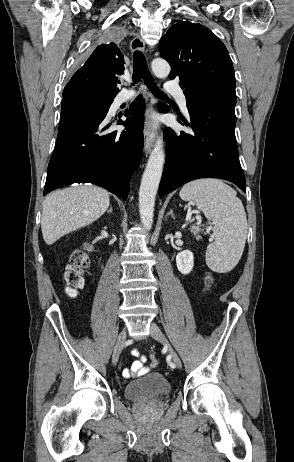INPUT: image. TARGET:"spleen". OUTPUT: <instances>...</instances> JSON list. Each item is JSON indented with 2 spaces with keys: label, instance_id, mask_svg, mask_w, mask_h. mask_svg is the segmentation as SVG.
<instances>
[{
  "label": "spleen",
  "instance_id": "obj_1",
  "mask_svg": "<svg viewBox=\"0 0 294 462\" xmlns=\"http://www.w3.org/2000/svg\"><path fill=\"white\" fill-rule=\"evenodd\" d=\"M185 201H194L214 224L215 241L207 247L206 263L218 273L231 271L239 262L246 242L247 219L236 191L219 179H199L180 190Z\"/></svg>",
  "mask_w": 294,
  "mask_h": 462
}]
</instances>
